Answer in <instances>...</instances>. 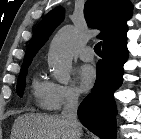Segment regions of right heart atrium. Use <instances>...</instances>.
Masks as SVG:
<instances>
[{
    "label": "right heart atrium",
    "mask_w": 141,
    "mask_h": 139,
    "mask_svg": "<svg viewBox=\"0 0 141 139\" xmlns=\"http://www.w3.org/2000/svg\"><path fill=\"white\" fill-rule=\"evenodd\" d=\"M78 100L79 93L73 85L49 82L47 109L60 111L66 106L77 104Z\"/></svg>",
    "instance_id": "d8ad5b80"
}]
</instances>
